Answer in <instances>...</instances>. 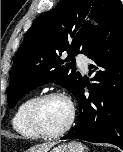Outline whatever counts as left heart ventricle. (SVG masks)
Returning a JSON list of instances; mask_svg holds the SVG:
<instances>
[{"label": "left heart ventricle", "instance_id": "obj_1", "mask_svg": "<svg viewBox=\"0 0 123 152\" xmlns=\"http://www.w3.org/2000/svg\"><path fill=\"white\" fill-rule=\"evenodd\" d=\"M70 117L69 104L59 98L46 101L40 110V121L47 131H58L65 126Z\"/></svg>", "mask_w": 123, "mask_h": 152}]
</instances>
